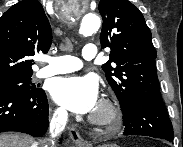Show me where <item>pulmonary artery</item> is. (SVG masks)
<instances>
[{"mask_svg": "<svg viewBox=\"0 0 183 147\" xmlns=\"http://www.w3.org/2000/svg\"><path fill=\"white\" fill-rule=\"evenodd\" d=\"M97 48L94 44H86L82 50V57L86 60L96 58ZM42 61L47 65L39 70V77H47L56 74H63L79 70L82 67V61L74 56H56L45 57Z\"/></svg>", "mask_w": 183, "mask_h": 147, "instance_id": "obj_1", "label": "pulmonary artery"}]
</instances>
